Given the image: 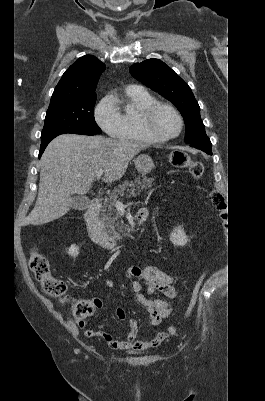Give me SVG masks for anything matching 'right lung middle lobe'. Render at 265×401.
<instances>
[{
	"instance_id": "dd1d6c3e",
	"label": "right lung middle lobe",
	"mask_w": 265,
	"mask_h": 401,
	"mask_svg": "<svg viewBox=\"0 0 265 401\" xmlns=\"http://www.w3.org/2000/svg\"><path fill=\"white\" fill-rule=\"evenodd\" d=\"M96 95L79 97L49 106L41 143L65 133L96 135L102 133L94 119Z\"/></svg>"
}]
</instances>
